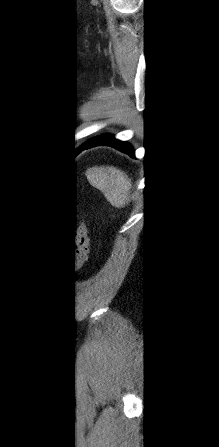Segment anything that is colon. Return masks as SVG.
<instances>
[{
    "instance_id": "5ec220e1",
    "label": "colon",
    "mask_w": 219,
    "mask_h": 447,
    "mask_svg": "<svg viewBox=\"0 0 219 447\" xmlns=\"http://www.w3.org/2000/svg\"><path fill=\"white\" fill-rule=\"evenodd\" d=\"M77 234L81 240V243H80L81 248H80L79 256L77 257V259L74 263V266H73L74 270H76L79 267V265L81 264V262L84 258L85 252H86V246L84 243H85L86 234H87V227H86V224L84 221L80 222V224L78 226Z\"/></svg>"
}]
</instances>
